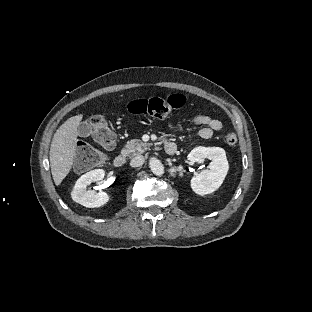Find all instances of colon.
Returning a JSON list of instances; mask_svg holds the SVG:
<instances>
[{
  "label": "colon",
  "mask_w": 312,
  "mask_h": 312,
  "mask_svg": "<svg viewBox=\"0 0 312 312\" xmlns=\"http://www.w3.org/2000/svg\"><path fill=\"white\" fill-rule=\"evenodd\" d=\"M184 104V96L180 93H173L166 98H141L135 99L128 105V110L132 114H143L153 117V119H163L171 111L180 109ZM89 131L95 140L107 150H111L116 144L115 131L110 122L102 115H93L88 123ZM228 146L237 144V136L233 132L225 135ZM81 162H85L88 167L99 164L105 159V154L101 151L84 150L79 152Z\"/></svg>",
  "instance_id": "1"
}]
</instances>
